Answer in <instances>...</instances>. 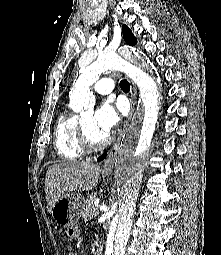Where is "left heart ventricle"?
I'll return each mask as SVG.
<instances>
[{"mask_svg": "<svg viewBox=\"0 0 221 255\" xmlns=\"http://www.w3.org/2000/svg\"><path fill=\"white\" fill-rule=\"evenodd\" d=\"M84 128L91 138V140L95 143H100L102 142L105 138L106 135L101 133L94 125V114L90 113L87 116H85L82 120Z\"/></svg>", "mask_w": 221, "mask_h": 255, "instance_id": "b2bd125f", "label": "left heart ventricle"}]
</instances>
